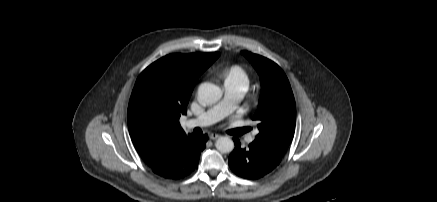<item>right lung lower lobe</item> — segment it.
Returning <instances> with one entry per match:
<instances>
[{
    "mask_svg": "<svg viewBox=\"0 0 437 202\" xmlns=\"http://www.w3.org/2000/svg\"><path fill=\"white\" fill-rule=\"evenodd\" d=\"M208 136L187 135L172 151L153 166L154 173L167 179H180L190 175L199 163L200 153L205 149Z\"/></svg>",
    "mask_w": 437,
    "mask_h": 202,
    "instance_id": "right-lung-lower-lobe-1",
    "label": "right lung lower lobe"
}]
</instances>
